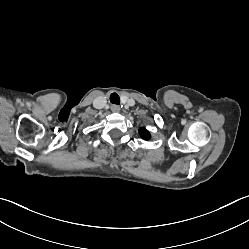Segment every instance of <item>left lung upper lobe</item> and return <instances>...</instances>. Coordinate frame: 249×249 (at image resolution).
<instances>
[{
	"label": "left lung upper lobe",
	"mask_w": 249,
	"mask_h": 249,
	"mask_svg": "<svg viewBox=\"0 0 249 249\" xmlns=\"http://www.w3.org/2000/svg\"><path fill=\"white\" fill-rule=\"evenodd\" d=\"M139 132H140V135L143 139H145V140L150 139V134L145 128H140Z\"/></svg>",
	"instance_id": "left-lung-upper-lobe-1"
}]
</instances>
